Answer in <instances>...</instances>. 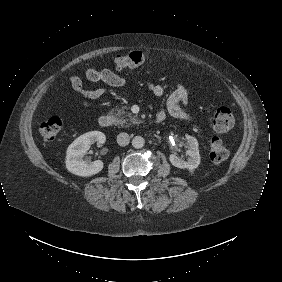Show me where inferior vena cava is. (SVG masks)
<instances>
[{"label": "inferior vena cava", "instance_id": "1", "mask_svg": "<svg viewBox=\"0 0 282 282\" xmlns=\"http://www.w3.org/2000/svg\"><path fill=\"white\" fill-rule=\"evenodd\" d=\"M130 142V137L127 133L125 132H122V133H119L118 136H117V143L120 145V146H126L128 145Z\"/></svg>", "mask_w": 282, "mask_h": 282}]
</instances>
